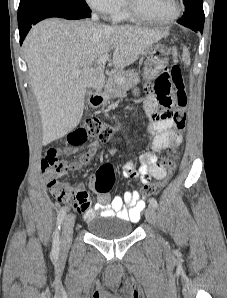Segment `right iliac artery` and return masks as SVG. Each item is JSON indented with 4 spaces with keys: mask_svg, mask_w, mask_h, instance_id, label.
I'll use <instances>...</instances> for the list:
<instances>
[{
    "mask_svg": "<svg viewBox=\"0 0 227 298\" xmlns=\"http://www.w3.org/2000/svg\"><path fill=\"white\" fill-rule=\"evenodd\" d=\"M66 215V208H62L57 216V222H56V229L54 232V237H53V247H52V253L53 255H58L59 254V249H60V240H59V231H60V226L61 223Z\"/></svg>",
    "mask_w": 227,
    "mask_h": 298,
    "instance_id": "1",
    "label": "right iliac artery"
}]
</instances>
